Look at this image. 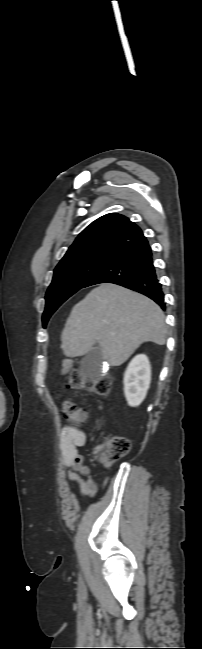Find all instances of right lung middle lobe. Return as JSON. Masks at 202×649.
Listing matches in <instances>:
<instances>
[{"label": "right lung middle lobe", "instance_id": "1", "mask_svg": "<svg viewBox=\"0 0 202 649\" xmlns=\"http://www.w3.org/2000/svg\"><path fill=\"white\" fill-rule=\"evenodd\" d=\"M115 254L110 252H86L64 258L54 270L52 283L46 293L43 313L45 327L50 316L71 295L83 288L91 276Z\"/></svg>", "mask_w": 202, "mask_h": 649}]
</instances>
